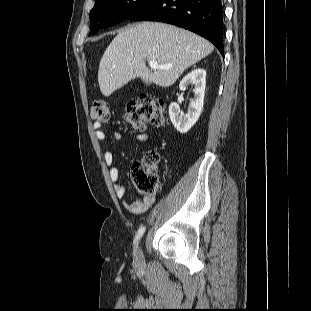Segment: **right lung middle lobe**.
Segmentation results:
<instances>
[{
	"label": "right lung middle lobe",
	"instance_id": "right-lung-middle-lobe-1",
	"mask_svg": "<svg viewBox=\"0 0 311 311\" xmlns=\"http://www.w3.org/2000/svg\"><path fill=\"white\" fill-rule=\"evenodd\" d=\"M155 0H97L90 11V33L108 27L152 4Z\"/></svg>",
	"mask_w": 311,
	"mask_h": 311
}]
</instances>
